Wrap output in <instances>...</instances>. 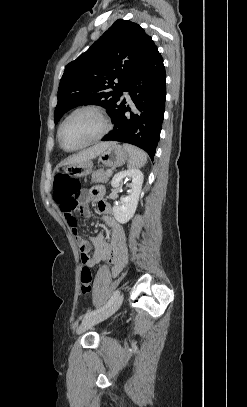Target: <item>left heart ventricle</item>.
I'll return each instance as SVG.
<instances>
[{
  "label": "left heart ventricle",
  "instance_id": "obj_1",
  "mask_svg": "<svg viewBox=\"0 0 247 407\" xmlns=\"http://www.w3.org/2000/svg\"><path fill=\"white\" fill-rule=\"evenodd\" d=\"M103 128L101 120L91 112H79L66 121L61 131L64 147H79L97 136Z\"/></svg>",
  "mask_w": 247,
  "mask_h": 407
}]
</instances>
